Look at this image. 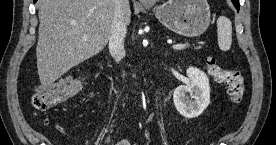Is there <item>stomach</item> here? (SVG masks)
Listing matches in <instances>:
<instances>
[{
	"mask_svg": "<svg viewBox=\"0 0 276 145\" xmlns=\"http://www.w3.org/2000/svg\"><path fill=\"white\" fill-rule=\"evenodd\" d=\"M157 19L171 31L196 37L210 24V7L206 0H168L153 8Z\"/></svg>",
	"mask_w": 276,
	"mask_h": 145,
	"instance_id": "obj_1",
	"label": "stomach"
}]
</instances>
